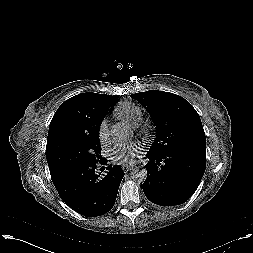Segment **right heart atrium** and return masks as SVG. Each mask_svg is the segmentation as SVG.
<instances>
[{"label":"right heart atrium","instance_id":"d8ad5b80","mask_svg":"<svg viewBox=\"0 0 253 253\" xmlns=\"http://www.w3.org/2000/svg\"><path fill=\"white\" fill-rule=\"evenodd\" d=\"M109 125L106 119L102 120L98 127V137L100 142L105 143L109 139Z\"/></svg>","mask_w":253,"mask_h":253}]
</instances>
